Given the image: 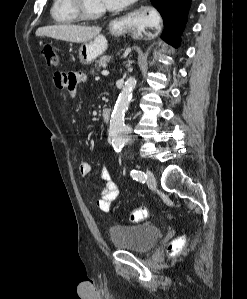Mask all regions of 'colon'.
<instances>
[{
    "instance_id": "5ec220e1",
    "label": "colon",
    "mask_w": 247,
    "mask_h": 299,
    "mask_svg": "<svg viewBox=\"0 0 247 299\" xmlns=\"http://www.w3.org/2000/svg\"><path fill=\"white\" fill-rule=\"evenodd\" d=\"M44 57L46 60V64L49 67H56L58 65V55L55 49L51 45H45L43 49ZM149 212L145 208H139L133 211L129 215V220L133 223L142 221L147 218ZM185 244V239L183 237H178L172 241V243L168 247V251L170 255L178 254Z\"/></svg>"
}]
</instances>
